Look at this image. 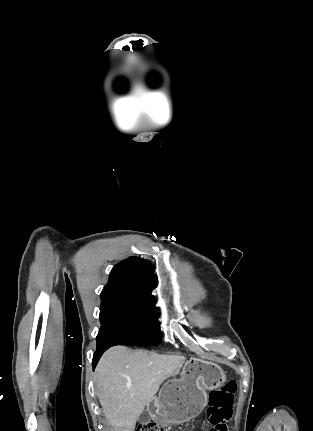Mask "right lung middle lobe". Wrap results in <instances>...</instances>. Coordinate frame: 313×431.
<instances>
[{
    "label": "right lung middle lobe",
    "mask_w": 313,
    "mask_h": 431,
    "mask_svg": "<svg viewBox=\"0 0 313 431\" xmlns=\"http://www.w3.org/2000/svg\"><path fill=\"white\" fill-rule=\"evenodd\" d=\"M101 328L96 337L102 345L149 347L158 343L160 335L154 305L119 295L101 296Z\"/></svg>",
    "instance_id": "obj_1"
}]
</instances>
